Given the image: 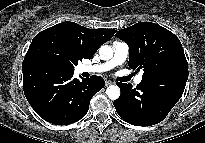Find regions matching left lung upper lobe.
<instances>
[{
  "instance_id": "1",
  "label": "left lung upper lobe",
  "mask_w": 205,
  "mask_h": 143,
  "mask_svg": "<svg viewBox=\"0 0 205 143\" xmlns=\"http://www.w3.org/2000/svg\"><path fill=\"white\" fill-rule=\"evenodd\" d=\"M116 36L129 45L128 66L138 71L142 69V78L170 71L188 73L179 39L164 27L152 22H139L117 31Z\"/></svg>"
}]
</instances>
